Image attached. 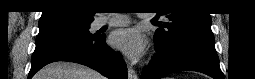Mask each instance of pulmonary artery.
<instances>
[{"label":"pulmonary artery","mask_w":255,"mask_h":79,"mask_svg":"<svg viewBox=\"0 0 255 79\" xmlns=\"http://www.w3.org/2000/svg\"><path fill=\"white\" fill-rule=\"evenodd\" d=\"M148 14H139V17H146ZM129 22V19L126 15H113L110 17H100L96 20L97 27L103 26H118L126 25Z\"/></svg>","instance_id":"pulmonary-artery-1"}]
</instances>
